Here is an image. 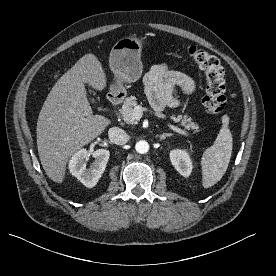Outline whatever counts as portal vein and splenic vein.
Returning <instances> with one entry per match:
<instances>
[{
	"instance_id": "obj_1",
	"label": "portal vein and splenic vein",
	"mask_w": 276,
	"mask_h": 276,
	"mask_svg": "<svg viewBox=\"0 0 276 276\" xmlns=\"http://www.w3.org/2000/svg\"><path fill=\"white\" fill-rule=\"evenodd\" d=\"M142 115H143L142 107L141 106H136L133 109V112H132L133 119L138 120V119H140L142 117ZM168 127L170 129H172L173 131L181 134V135L188 136V133L185 130H183V129L175 126V125L168 124Z\"/></svg>"
}]
</instances>
